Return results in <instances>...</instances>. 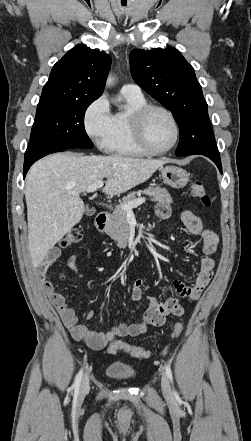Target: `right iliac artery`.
Wrapping results in <instances>:
<instances>
[{
	"label": "right iliac artery",
	"mask_w": 251,
	"mask_h": 441,
	"mask_svg": "<svg viewBox=\"0 0 251 441\" xmlns=\"http://www.w3.org/2000/svg\"><path fill=\"white\" fill-rule=\"evenodd\" d=\"M82 376H83V370L81 369L78 372V374H77V376L75 378L74 384H73V388H74L76 393L79 391V387H80V383H81V380H82Z\"/></svg>",
	"instance_id": "82829eb1"
}]
</instances>
